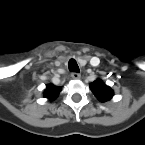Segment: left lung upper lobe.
<instances>
[{"label":"left lung upper lobe","mask_w":145,"mask_h":145,"mask_svg":"<svg viewBox=\"0 0 145 145\" xmlns=\"http://www.w3.org/2000/svg\"><path fill=\"white\" fill-rule=\"evenodd\" d=\"M91 90L101 102H106L113 97L112 89L104 85L100 79L95 80L91 84Z\"/></svg>","instance_id":"left-lung-upper-lobe-1"}]
</instances>
